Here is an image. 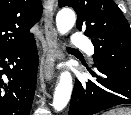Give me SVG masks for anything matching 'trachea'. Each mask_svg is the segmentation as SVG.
Here are the masks:
<instances>
[{
    "instance_id": "trachea-1",
    "label": "trachea",
    "mask_w": 131,
    "mask_h": 115,
    "mask_svg": "<svg viewBox=\"0 0 131 115\" xmlns=\"http://www.w3.org/2000/svg\"><path fill=\"white\" fill-rule=\"evenodd\" d=\"M68 49H71V50H76V49H73V48H70V47H68Z\"/></svg>"
}]
</instances>
